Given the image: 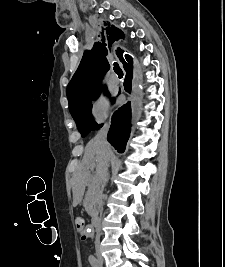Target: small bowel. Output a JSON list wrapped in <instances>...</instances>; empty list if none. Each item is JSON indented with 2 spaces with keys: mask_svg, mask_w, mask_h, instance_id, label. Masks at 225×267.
Listing matches in <instances>:
<instances>
[{
  "mask_svg": "<svg viewBox=\"0 0 225 267\" xmlns=\"http://www.w3.org/2000/svg\"><path fill=\"white\" fill-rule=\"evenodd\" d=\"M88 232V231H87ZM87 232H85L84 234H82V235H80V239L82 240V241H86L87 240V238H88V233Z\"/></svg>",
  "mask_w": 225,
  "mask_h": 267,
  "instance_id": "1",
  "label": "small bowel"
}]
</instances>
